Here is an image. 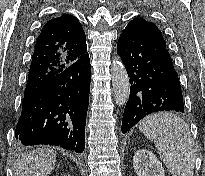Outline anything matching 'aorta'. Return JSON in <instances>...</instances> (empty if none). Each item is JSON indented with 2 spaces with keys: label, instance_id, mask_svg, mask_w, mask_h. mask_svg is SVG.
Instances as JSON below:
<instances>
[{
  "label": "aorta",
  "instance_id": "1",
  "mask_svg": "<svg viewBox=\"0 0 205 176\" xmlns=\"http://www.w3.org/2000/svg\"><path fill=\"white\" fill-rule=\"evenodd\" d=\"M111 74L115 103L123 106L129 98L130 83L127 71L119 59L113 60Z\"/></svg>",
  "mask_w": 205,
  "mask_h": 176
}]
</instances>
